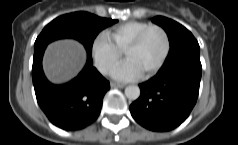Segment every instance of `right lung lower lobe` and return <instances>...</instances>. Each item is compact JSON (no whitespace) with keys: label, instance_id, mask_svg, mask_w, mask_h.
I'll return each instance as SVG.
<instances>
[{"label":"right lung lower lobe","instance_id":"1","mask_svg":"<svg viewBox=\"0 0 238 145\" xmlns=\"http://www.w3.org/2000/svg\"><path fill=\"white\" fill-rule=\"evenodd\" d=\"M47 45L34 49L32 78L37 102L55 126L76 131L93 123L100 114L109 82L93 67L92 57L81 73L69 83L54 85L42 70V57Z\"/></svg>","mask_w":238,"mask_h":145}]
</instances>
